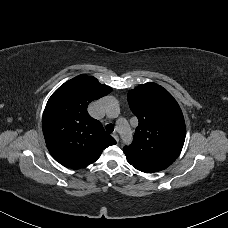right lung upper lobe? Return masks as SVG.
Returning a JSON list of instances; mask_svg holds the SVG:
<instances>
[{"mask_svg": "<svg viewBox=\"0 0 228 228\" xmlns=\"http://www.w3.org/2000/svg\"><path fill=\"white\" fill-rule=\"evenodd\" d=\"M111 91L96 78L83 74L61 85L49 98L42 128L47 148L60 164L73 169L86 167L105 148L116 144L87 112L90 102Z\"/></svg>", "mask_w": 228, "mask_h": 228, "instance_id": "obj_1", "label": "right lung upper lobe"}]
</instances>
